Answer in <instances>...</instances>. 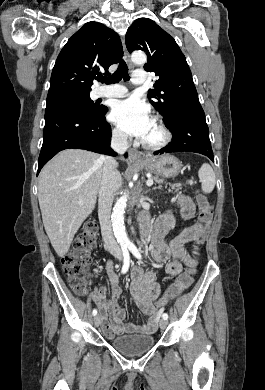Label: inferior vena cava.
<instances>
[{
  "label": "inferior vena cava",
  "mask_w": 265,
  "mask_h": 390,
  "mask_svg": "<svg viewBox=\"0 0 265 390\" xmlns=\"http://www.w3.org/2000/svg\"><path fill=\"white\" fill-rule=\"evenodd\" d=\"M128 136L122 132H114L111 139V147L119 154H124L128 148ZM103 174L98 196V217L101 226V234L106 249L114 256L122 255L121 249L116 242L111 226V208L114 193L121 186V176L116 169V160L111 156H102Z\"/></svg>",
  "instance_id": "1"
}]
</instances>
